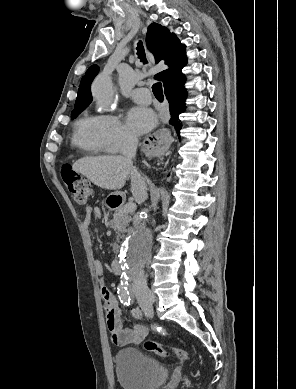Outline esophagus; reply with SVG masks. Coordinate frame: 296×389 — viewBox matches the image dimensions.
I'll return each mask as SVG.
<instances>
[{
    "instance_id": "obj_1",
    "label": "esophagus",
    "mask_w": 296,
    "mask_h": 389,
    "mask_svg": "<svg viewBox=\"0 0 296 389\" xmlns=\"http://www.w3.org/2000/svg\"><path fill=\"white\" fill-rule=\"evenodd\" d=\"M152 58L151 55H149ZM175 140V135L172 131H168L165 126H159L155 130V135H145L142 143L151 156H161L165 151L171 149L172 143Z\"/></svg>"
}]
</instances>
